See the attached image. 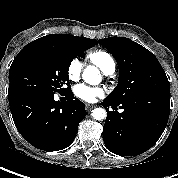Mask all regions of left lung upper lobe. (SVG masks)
<instances>
[{
    "label": "left lung upper lobe",
    "instance_id": "1",
    "mask_svg": "<svg viewBox=\"0 0 178 178\" xmlns=\"http://www.w3.org/2000/svg\"><path fill=\"white\" fill-rule=\"evenodd\" d=\"M116 59L118 84L107 100L122 104L130 101L170 111V84L157 58L140 44L125 37L99 39Z\"/></svg>",
    "mask_w": 178,
    "mask_h": 178
}]
</instances>
